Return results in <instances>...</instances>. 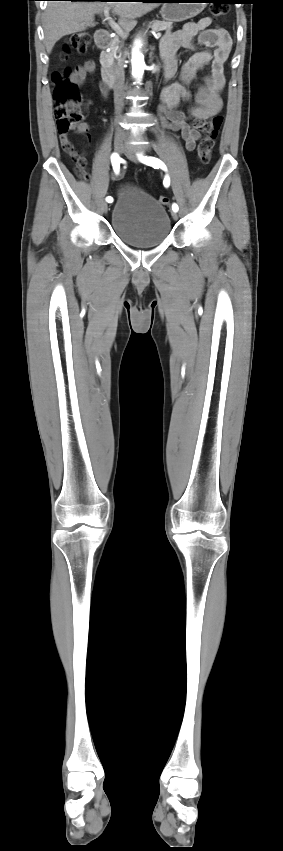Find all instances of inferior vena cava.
<instances>
[{"label":"inferior vena cava","instance_id":"inferior-vena-cava-1","mask_svg":"<svg viewBox=\"0 0 283 851\" xmlns=\"http://www.w3.org/2000/svg\"><path fill=\"white\" fill-rule=\"evenodd\" d=\"M124 73L121 65L117 66L114 73V105H115V114L119 116L124 107L123 102V91H124ZM117 132L123 133L120 128L116 129Z\"/></svg>","mask_w":283,"mask_h":851}]
</instances>
